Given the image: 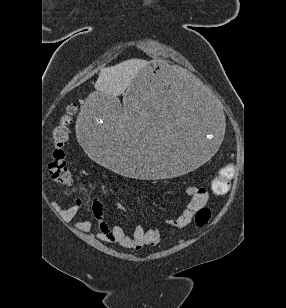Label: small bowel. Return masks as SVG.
Listing matches in <instances>:
<instances>
[{"mask_svg": "<svg viewBox=\"0 0 286 308\" xmlns=\"http://www.w3.org/2000/svg\"><path fill=\"white\" fill-rule=\"evenodd\" d=\"M186 194L190 197L189 203L178 217L168 221V225L174 228L182 229L187 227L196 211L207 203L209 197L205 188L195 185L188 186ZM115 207L120 211L126 210L125 205L120 202H116ZM80 208L81 201L78 200L76 204L61 210L63 219L71 221L76 217ZM92 212L94 217L100 221L97 236L102 241L115 243L127 249L139 250L144 246H156L161 240V232L159 229H145L141 225H138L134 228L132 234L129 235L118 225L109 227L101 221L103 205L99 199L94 200ZM92 226L93 224L90 220L80 221L75 224V228L81 232L91 230Z\"/></svg>", "mask_w": 286, "mask_h": 308, "instance_id": "small-bowel-1", "label": "small bowel"}]
</instances>
